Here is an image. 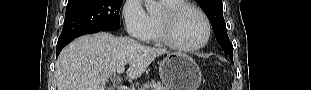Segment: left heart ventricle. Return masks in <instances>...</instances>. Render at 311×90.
Returning <instances> with one entry per match:
<instances>
[{
    "instance_id": "obj_1",
    "label": "left heart ventricle",
    "mask_w": 311,
    "mask_h": 90,
    "mask_svg": "<svg viewBox=\"0 0 311 90\" xmlns=\"http://www.w3.org/2000/svg\"><path fill=\"white\" fill-rule=\"evenodd\" d=\"M173 33L179 44L192 46L203 40L206 28L199 14L193 10H186L177 19Z\"/></svg>"
}]
</instances>
